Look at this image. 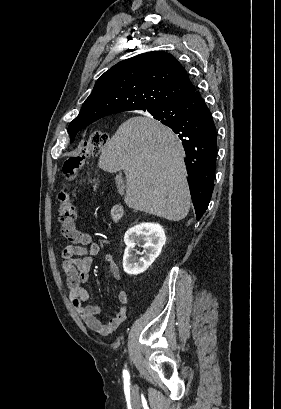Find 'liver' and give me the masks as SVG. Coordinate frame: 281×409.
Listing matches in <instances>:
<instances>
[{
    "instance_id": "obj_1",
    "label": "liver",
    "mask_w": 281,
    "mask_h": 409,
    "mask_svg": "<svg viewBox=\"0 0 281 409\" xmlns=\"http://www.w3.org/2000/svg\"><path fill=\"white\" fill-rule=\"evenodd\" d=\"M183 156L171 128L150 116H132L103 148L98 166L107 172L124 170V202L130 209L182 221L191 200Z\"/></svg>"
}]
</instances>
